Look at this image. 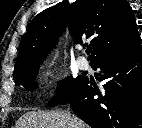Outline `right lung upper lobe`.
<instances>
[{
  "mask_svg": "<svg viewBox=\"0 0 142 128\" xmlns=\"http://www.w3.org/2000/svg\"><path fill=\"white\" fill-rule=\"evenodd\" d=\"M66 24L75 43L90 39L91 65L140 44L135 16L126 0H77L71 5L64 0L34 17L22 39L15 68L43 60Z\"/></svg>",
  "mask_w": 142,
  "mask_h": 128,
  "instance_id": "cb5924a9",
  "label": "right lung upper lobe"
}]
</instances>
